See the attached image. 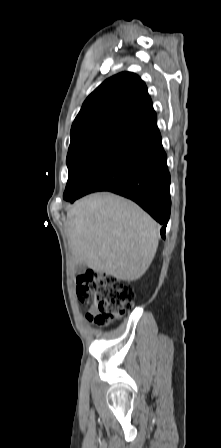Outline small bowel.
Masks as SVG:
<instances>
[{
  "label": "small bowel",
  "instance_id": "small-bowel-1",
  "mask_svg": "<svg viewBox=\"0 0 221 448\" xmlns=\"http://www.w3.org/2000/svg\"><path fill=\"white\" fill-rule=\"evenodd\" d=\"M94 312H95L94 308L91 307L88 311V314H93Z\"/></svg>",
  "mask_w": 221,
  "mask_h": 448
}]
</instances>
